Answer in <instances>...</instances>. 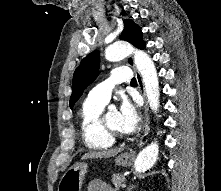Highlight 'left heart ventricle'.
Wrapping results in <instances>:
<instances>
[{
	"label": "left heart ventricle",
	"instance_id": "obj_1",
	"mask_svg": "<svg viewBox=\"0 0 221 191\" xmlns=\"http://www.w3.org/2000/svg\"><path fill=\"white\" fill-rule=\"evenodd\" d=\"M107 122L108 124L113 127L114 129L121 131V127H120V115L119 112H112L109 117L107 118Z\"/></svg>",
	"mask_w": 221,
	"mask_h": 191
}]
</instances>
